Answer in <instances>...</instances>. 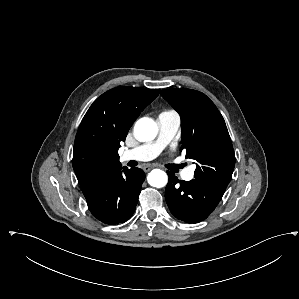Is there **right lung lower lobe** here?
Here are the masks:
<instances>
[{
	"instance_id": "obj_1",
	"label": "right lung lower lobe",
	"mask_w": 299,
	"mask_h": 299,
	"mask_svg": "<svg viewBox=\"0 0 299 299\" xmlns=\"http://www.w3.org/2000/svg\"><path fill=\"white\" fill-rule=\"evenodd\" d=\"M144 179V172L135 167L109 171L84 194L90 212L110 225L127 221L135 211Z\"/></svg>"
}]
</instances>
